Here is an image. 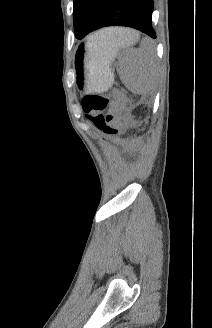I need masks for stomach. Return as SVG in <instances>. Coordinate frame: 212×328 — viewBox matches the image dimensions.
Segmentation results:
<instances>
[{"label": "stomach", "instance_id": "1", "mask_svg": "<svg viewBox=\"0 0 212 328\" xmlns=\"http://www.w3.org/2000/svg\"><path fill=\"white\" fill-rule=\"evenodd\" d=\"M76 60L77 82L87 92H104L113 83L114 75L110 66L112 60L105 55H95L85 46Z\"/></svg>", "mask_w": 212, "mask_h": 328}]
</instances>
